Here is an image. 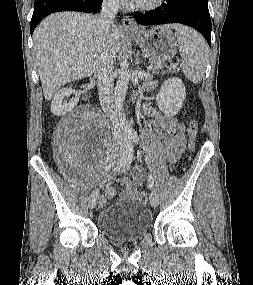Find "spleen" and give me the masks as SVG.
Segmentation results:
<instances>
[{"instance_id":"spleen-1","label":"spleen","mask_w":253,"mask_h":285,"mask_svg":"<svg viewBox=\"0 0 253 285\" xmlns=\"http://www.w3.org/2000/svg\"><path fill=\"white\" fill-rule=\"evenodd\" d=\"M175 36L178 41L180 55L183 58L181 69L187 79L193 83L202 81L208 52L204 38L194 29L179 25Z\"/></svg>"}]
</instances>
